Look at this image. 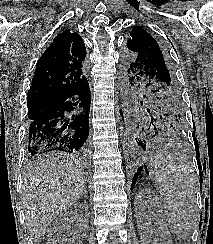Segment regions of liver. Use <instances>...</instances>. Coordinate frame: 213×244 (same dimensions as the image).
<instances>
[{"instance_id":"liver-1","label":"liver","mask_w":213,"mask_h":244,"mask_svg":"<svg viewBox=\"0 0 213 244\" xmlns=\"http://www.w3.org/2000/svg\"><path fill=\"white\" fill-rule=\"evenodd\" d=\"M85 185V169L73 154L48 153L27 169L21 195L33 240L82 196Z\"/></svg>"}]
</instances>
